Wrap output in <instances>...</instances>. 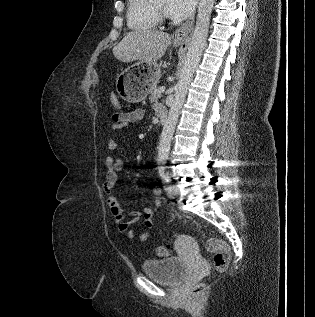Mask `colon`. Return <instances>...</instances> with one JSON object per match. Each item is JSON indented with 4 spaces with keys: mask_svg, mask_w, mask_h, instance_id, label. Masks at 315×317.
<instances>
[{
    "mask_svg": "<svg viewBox=\"0 0 315 317\" xmlns=\"http://www.w3.org/2000/svg\"><path fill=\"white\" fill-rule=\"evenodd\" d=\"M112 103L115 108L119 107V101L115 96L112 98ZM206 246L208 251L213 253V262L216 270L224 271L231 258V251L227 243L218 238H210L208 239ZM156 254L158 256H167L169 254V247L166 245L158 246L156 248ZM202 290L203 285L196 284L191 288L190 294L192 297H196Z\"/></svg>",
    "mask_w": 315,
    "mask_h": 317,
    "instance_id": "colon-1",
    "label": "colon"
}]
</instances>
